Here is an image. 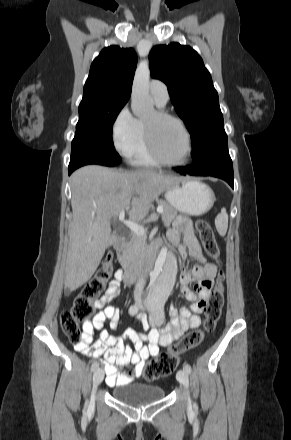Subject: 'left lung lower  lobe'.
<instances>
[{
  "label": "left lung lower lobe",
  "instance_id": "1",
  "mask_svg": "<svg viewBox=\"0 0 291 440\" xmlns=\"http://www.w3.org/2000/svg\"><path fill=\"white\" fill-rule=\"evenodd\" d=\"M174 170L183 175L218 177L228 182L234 188L233 165L228 152L227 142L213 148L205 156L194 161L193 165L175 167Z\"/></svg>",
  "mask_w": 291,
  "mask_h": 440
}]
</instances>
